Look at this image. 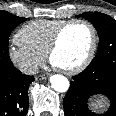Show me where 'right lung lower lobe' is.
<instances>
[{
  "label": "right lung lower lobe",
  "mask_w": 116,
  "mask_h": 116,
  "mask_svg": "<svg viewBox=\"0 0 116 116\" xmlns=\"http://www.w3.org/2000/svg\"><path fill=\"white\" fill-rule=\"evenodd\" d=\"M34 77L22 74L13 65L0 70V116H26L28 88Z\"/></svg>",
  "instance_id": "1"
}]
</instances>
